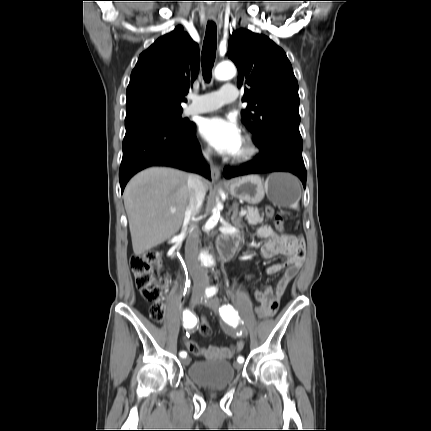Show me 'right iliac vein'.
<instances>
[{
    "label": "right iliac vein",
    "mask_w": 431,
    "mask_h": 431,
    "mask_svg": "<svg viewBox=\"0 0 431 431\" xmlns=\"http://www.w3.org/2000/svg\"><path fill=\"white\" fill-rule=\"evenodd\" d=\"M202 293L200 291H194L191 295L190 303L192 306H195L197 303H199ZM190 362L189 357H186L182 360V364L184 366L188 365Z\"/></svg>",
    "instance_id": "right-iliac-vein-1"
}]
</instances>
